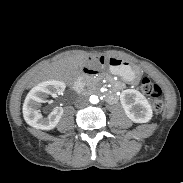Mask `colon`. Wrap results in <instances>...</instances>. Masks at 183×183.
Masks as SVG:
<instances>
[{
    "label": "colon",
    "mask_w": 183,
    "mask_h": 183,
    "mask_svg": "<svg viewBox=\"0 0 183 183\" xmlns=\"http://www.w3.org/2000/svg\"><path fill=\"white\" fill-rule=\"evenodd\" d=\"M100 63H105V59H99ZM142 93L151 100L153 112L158 114L164 106L162 90L152 79L144 77L140 85Z\"/></svg>",
    "instance_id": "1"
}]
</instances>
